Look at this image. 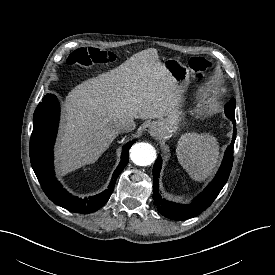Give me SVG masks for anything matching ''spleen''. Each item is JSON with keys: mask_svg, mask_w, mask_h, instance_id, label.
<instances>
[{"mask_svg": "<svg viewBox=\"0 0 275 275\" xmlns=\"http://www.w3.org/2000/svg\"><path fill=\"white\" fill-rule=\"evenodd\" d=\"M176 152L181 166L196 181L209 177L219 161L217 139L207 133L183 135L178 141Z\"/></svg>", "mask_w": 275, "mask_h": 275, "instance_id": "3e777b00", "label": "spleen"}]
</instances>
